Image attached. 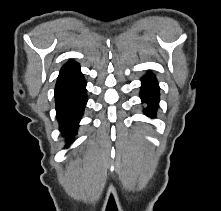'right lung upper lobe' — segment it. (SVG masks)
<instances>
[{"label":"right lung upper lobe","instance_id":"right-lung-upper-lobe-1","mask_svg":"<svg viewBox=\"0 0 221 211\" xmlns=\"http://www.w3.org/2000/svg\"><path fill=\"white\" fill-rule=\"evenodd\" d=\"M78 65H79V64H78L77 62H75V61H73V60H70V61H68V63H66V64L62 67L61 71H64V70L73 68V67L78 66Z\"/></svg>","mask_w":221,"mask_h":211}]
</instances>
